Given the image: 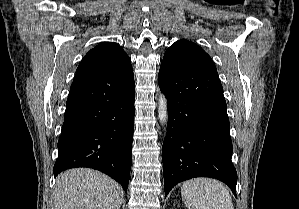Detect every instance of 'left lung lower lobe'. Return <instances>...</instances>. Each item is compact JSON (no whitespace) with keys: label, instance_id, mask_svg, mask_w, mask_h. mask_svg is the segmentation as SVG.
<instances>
[{"label":"left lung lower lobe","instance_id":"obj_1","mask_svg":"<svg viewBox=\"0 0 299 209\" xmlns=\"http://www.w3.org/2000/svg\"><path fill=\"white\" fill-rule=\"evenodd\" d=\"M158 76L169 113L162 147L165 197L194 177L216 178L236 196L230 124L217 71L161 63Z\"/></svg>","mask_w":299,"mask_h":209}]
</instances>
